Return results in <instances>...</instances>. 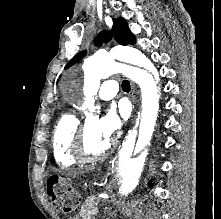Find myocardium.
Instances as JSON below:
<instances>
[{
    "label": "myocardium",
    "instance_id": "obj_1",
    "mask_svg": "<svg viewBox=\"0 0 221 219\" xmlns=\"http://www.w3.org/2000/svg\"><path fill=\"white\" fill-rule=\"evenodd\" d=\"M86 123H80L72 145V155L80 163H89L105 158L113 148V141H109L103 151L97 154H89L85 150Z\"/></svg>",
    "mask_w": 221,
    "mask_h": 219
}]
</instances>
